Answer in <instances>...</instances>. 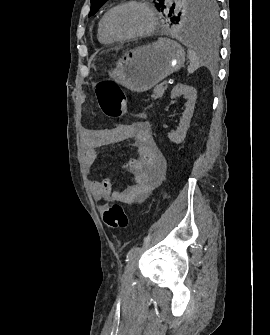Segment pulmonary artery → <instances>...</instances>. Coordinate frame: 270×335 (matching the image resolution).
<instances>
[{
	"mask_svg": "<svg viewBox=\"0 0 270 335\" xmlns=\"http://www.w3.org/2000/svg\"><path fill=\"white\" fill-rule=\"evenodd\" d=\"M172 2V0H166L167 4H170Z\"/></svg>",
	"mask_w": 270,
	"mask_h": 335,
	"instance_id": "1",
	"label": "pulmonary artery"
}]
</instances>
